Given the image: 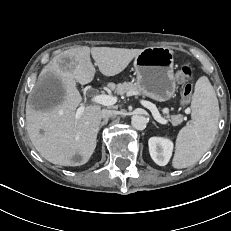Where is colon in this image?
Listing matches in <instances>:
<instances>
[{"label":"colon","instance_id":"5ec220e1","mask_svg":"<svg viewBox=\"0 0 231 231\" xmlns=\"http://www.w3.org/2000/svg\"><path fill=\"white\" fill-rule=\"evenodd\" d=\"M177 79L179 80H186L192 77V70L188 65H183L181 69L177 73ZM192 95V85L187 83L181 92V101L183 103H188L191 99Z\"/></svg>","mask_w":231,"mask_h":231}]
</instances>
